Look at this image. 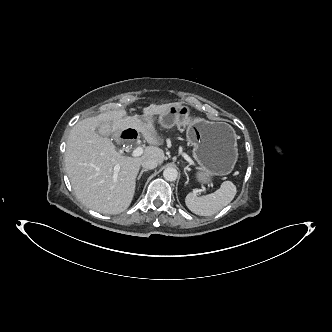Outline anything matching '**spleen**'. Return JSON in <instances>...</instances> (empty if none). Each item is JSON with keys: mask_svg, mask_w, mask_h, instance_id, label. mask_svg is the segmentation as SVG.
Returning a JSON list of instances; mask_svg holds the SVG:
<instances>
[{"mask_svg": "<svg viewBox=\"0 0 332 332\" xmlns=\"http://www.w3.org/2000/svg\"><path fill=\"white\" fill-rule=\"evenodd\" d=\"M236 186L231 181H225L214 193L196 196V192L189 193L185 198L186 206L193 213L200 216H210L221 211L236 195Z\"/></svg>", "mask_w": 332, "mask_h": 332, "instance_id": "1", "label": "spleen"}]
</instances>
